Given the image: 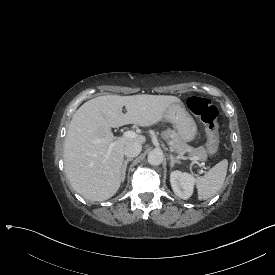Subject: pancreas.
Here are the masks:
<instances>
[{
    "mask_svg": "<svg viewBox=\"0 0 275 275\" xmlns=\"http://www.w3.org/2000/svg\"><path fill=\"white\" fill-rule=\"evenodd\" d=\"M163 139L171 138L170 148L178 154L188 153L191 157H197L198 161H207V154L205 149L200 146L197 148L192 147L179 135V133L171 128H167L161 133Z\"/></svg>",
    "mask_w": 275,
    "mask_h": 275,
    "instance_id": "cf45deb5",
    "label": "pancreas"
}]
</instances>
